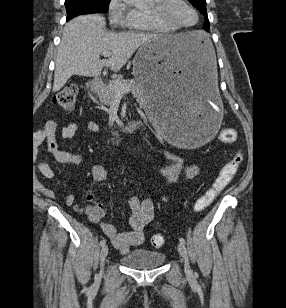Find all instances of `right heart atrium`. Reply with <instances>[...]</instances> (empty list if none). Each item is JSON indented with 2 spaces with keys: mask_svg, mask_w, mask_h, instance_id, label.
Returning a JSON list of instances; mask_svg holds the SVG:
<instances>
[{
  "mask_svg": "<svg viewBox=\"0 0 286 308\" xmlns=\"http://www.w3.org/2000/svg\"><path fill=\"white\" fill-rule=\"evenodd\" d=\"M107 13L112 25L119 27L130 26L133 9L126 0H108Z\"/></svg>",
  "mask_w": 286,
  "mask_h": 308,
  "instance_id": "1",
  "label": "right heart atrium"
}]
</instances>
